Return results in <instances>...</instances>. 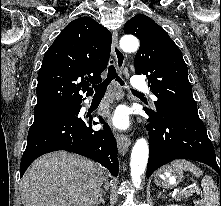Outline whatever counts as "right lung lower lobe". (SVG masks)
Masks as SVG:
<instances>
[{
  "label": "right lung lower lobe",
  "mask_w": 221,
  "mask_h": 206,
  "mask_svg": "<svg viewBox=\"0 0 221 206\" xmlns=\"http://www.w3.org/2000/svg\"><path fill=\"white\" fill-rule=\"evenodd\" d=\"M61 115L43 118L34 121L30 127L27 146L20 164V177L23 176L28 166L39 156L57 150L77 153L93 159L105 166L109 172L117 176L118 158L116 140L110 127L104 123L103 130H93L92 125L97 124L91 118L83 120L77 115Z\"/></svg>",
  "instance_id": "right-lung-lower-lobe-1"
}]
</instances>
